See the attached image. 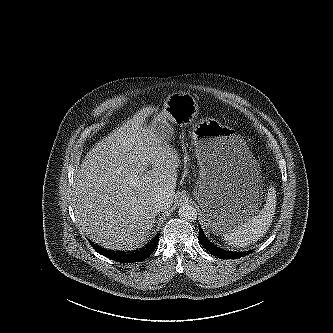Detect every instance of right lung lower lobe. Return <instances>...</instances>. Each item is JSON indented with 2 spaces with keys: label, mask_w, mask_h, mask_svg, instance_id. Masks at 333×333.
<instances>
[{
  "label": "right lung lower lobe",
  "mask_w": 333,
  "mask_h": 333,
  "mask_svg": "<svg viewBox=\"0 0 333 333\" xmlns=\"http://www.w3.org/2000/svg\"><path fill=\"white\" fill-rule=\"evenodd\" d=\"M158 240H159V234H157L156 237L153 238L145 246H143L142 248H140L134 252H131V253H120L117 251L107 250L94 243H91V245L95 249L96 252H98L99 254H101L105 257L113 259L117 262L133 263V262L142 261V260L148 258L152 254L154 249L156 248Z\"/></svg>",
  "instance_id": "obj_1"
}]
</instances>
